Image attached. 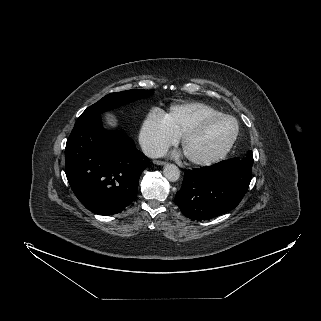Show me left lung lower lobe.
I'll use <instances>...</instances> for the list:
<instances>
[{
  "label": "left lung lower lobe",
  "instance_id": "0a47b994",
  "mask_svg": "<svg viewBox=\"0 0 321 321\" xmlns=\"http://www.w3.org/2000/svg\"><path fill=\"white\" fill-rule=\"evenodd\" d=\"M253 157L232 158L186 170L174 202L194 220H208L234 209L248 190Z\"/></svg>",
  "mask_w": 321,
  "mask_h": 321
}]
</instances>
